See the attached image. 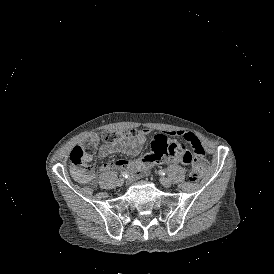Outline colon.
<instances>
[{
  "mask_svg": "<svg viewBox=\"0 0 274 274\" xmlns=\"http://www.w3.org/2000/svg\"><path fill=\"white\" fill-rule=\"evenodd\" d=\"M135 130L130 129L126 135L129 137L134 136ZM102 138L108 143H115L119 139L117 130H106L102 134H94L86 137L82 141V145L75 146L69 155L70 165H79L82 162L84 155L93 152L97 142ZM207 170L206 157H197L196 161L190 166L188 179L191 183H197L200 179V174Z\"/></svg>",
  "mask_w": 274,
  "mask_h": 274,
  "instance_id": "1",
  "label": "colon"
}]
</instances>
